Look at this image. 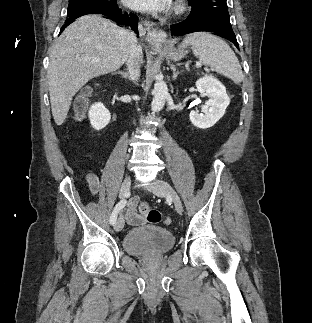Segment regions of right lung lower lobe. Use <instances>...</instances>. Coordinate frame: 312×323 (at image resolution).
I'll return each instance as SVG.
<instances>
[{
  "instance_id": "right-lung-lower-lobe-1",
  "label": "right lung lower lobe",
  "mask_w": 312,
  "mask_h": 323,
  "mask_svg": "<svg viewBox=\"0 0 312 323\" xmlns=\"http://www.w3.org/2000/svg\"><path fill=\"white\" fill-rule=\"evenodd\" d=\"M86 14H103L105 18L112 19L121 26L122 25L130 26L132 30L138 33L137 31L138 17L133 13H130L129 15L125 13L124 15H122V12L119 10L118 6L114 8H105V7L88 8L82 12L71 13L67 16V19L65 20V24L61 28V32L65 29V27H67L70 23H72L75 20V18Z\"/></svg>"
}]
</instances>
